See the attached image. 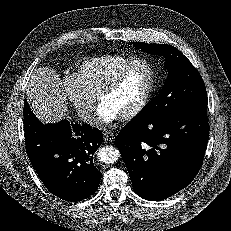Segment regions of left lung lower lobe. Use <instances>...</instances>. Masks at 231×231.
Returning a JSON list of instances; mask_svg holds the SVG:
<instances>
[{
  "instance_id": "obj_1",
  "label": "left lung lower lobe",
  "mask_w": 231,
  "mask_h": 231,
  "mask_svg": "<svg viewBox=\"0 0 231 231\" xmlns=\"http://www.w3.org/2000/svg\"><path fill=\"white\" fill-rule=\"evenodd\" d=\"M208 138L207 106H202L157 121L132 120L119 132L115 144L136 193L158 201L193 181Z\"/></svg>"
}]
</instances>
